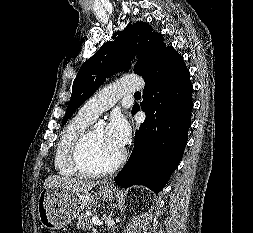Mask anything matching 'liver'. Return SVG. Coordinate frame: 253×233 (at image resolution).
<instances>
[{
    "label": "liver",
    "instance_id": "6515ba94",
    "mask_svg": "<svg viewBox=\"0 0 253 233\" xmlns=\"http://www.w3.org/2000/svg\"><path fill=\"white\" fill-rule=\"evenodd\" d=\"M97 184L98 182H86L66 176L50 175L44 182V188L61 187L74 193H87Z\"/></svg>",
    "mask_w": 253,
    "mask_h": 233
}]
</instances>
